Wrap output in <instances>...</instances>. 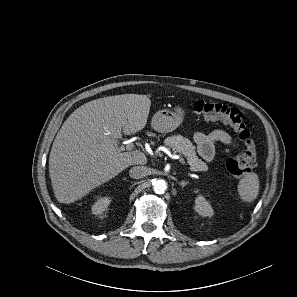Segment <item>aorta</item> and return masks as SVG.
<instances>
[{"instance_id":"1","label":"aorta","mask_w":297,"mask_h":297,"mask_svg":"<svg viewBox=\"0 0 297 297\" xmlns=\"http://www.w3.org/2000/svg\"><path fill=\"white\" fill-rule=\"evenodd\" d=\"M154 192L157 194H163L167 189V183L163 179H158L153 182Z\"/></svg>"}]
</instances>
